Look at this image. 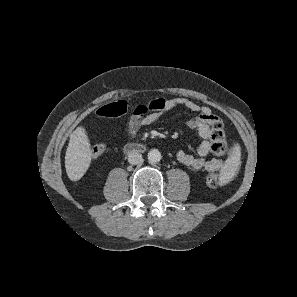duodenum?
<instances>
[{"mask_svg":"<svg viewBox=\"0 0 297 297\" xmlns=\"http://www.w3.org/2000/svg\"><path fill=\"white\" fill-rule=\"evenodd\" d=\"M144 147L138 143H129L124 147V152L126 154H134L137 152H142Z\"/></svg>","mask_w":297,"mask_h":297,"instance_id":"410a0bca","label":"duodenum"}]
</instances>
